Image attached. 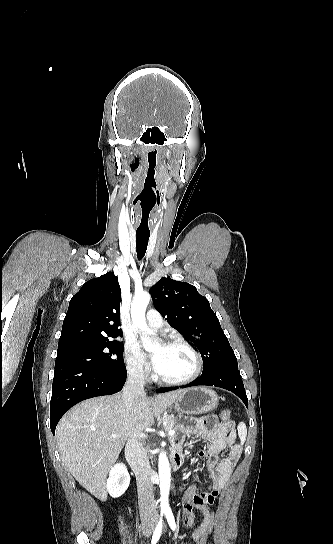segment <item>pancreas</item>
I'll return each instance as SVG.
<instances>
[{
  "label": "pancreas",
  "mask_w": 333,
  "mask_h": 544,
  "mask_svg": "<svg viewBox=\"0 0 333 544\" xmlns=\"http://www.w3.org/2000/svg\"><path fill=\"white\" fill-rule=\"evenodd\" d=\"M164 422H166V426H165V429L167 431L169 430H178L180 428V424L178 423V421L174 418L173 415H167L165 417H163L162 419ZM176 437V435L174 436H170V439H174Z\"/></svg>",
  "instance_id": "1"
}]
</instances>
